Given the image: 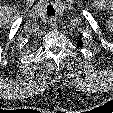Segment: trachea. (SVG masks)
<instances>
[{
	"label": "trachea",
	"mask_w": 113,
	"mask_h": 113,
	"mask_svg": "<svg viewBox=\"0 0 113 113\" xmlns=\"http://www.w3.org/2000/svg\"><path fill=\"white\" fill-rule=\"evenodd\" d=\"M47 14H48L49 17L55 15L54 8H53L51 5H49V6L47 7Z\"/></svg>",
	"instance_id": "trachea-1"
}]
</instances>
